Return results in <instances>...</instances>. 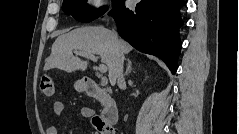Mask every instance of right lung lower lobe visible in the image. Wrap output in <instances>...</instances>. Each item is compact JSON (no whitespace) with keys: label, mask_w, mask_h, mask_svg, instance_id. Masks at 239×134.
<instances>
[{"label":"right lung lower lobe","mask_w":239,"mask_h":134,"mask_svg":"<svg viewBox=\"0 0 239 134\" xmlns=\"http://www.w3.org/2000/svg\"><path fill=\"white\" fill-rule=\"evenodd\" d=\"M183 0H141L135 10L126 9L119 0L109 12L119 35L137 50L160 57L173 74L181 42L178 29L183 24L179 11Z\"/></svg>","instance_id":"1"}]
</instances>
